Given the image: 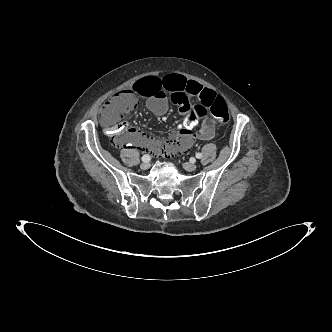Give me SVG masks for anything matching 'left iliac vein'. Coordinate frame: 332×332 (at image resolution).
I'll use <instances>...</instances> for the list:
<instances>
[{
  "label": "left iliac vein",
  "instance_id": "left-iliac-vein-1",
  "mask_svg": "<svg viewBox=\"0 0 332 332\" xmlns=\"http://www.w3.org/2000/svg\"><path fill=\"white\" fill-rule=\"evenodd\" d=\"M183 168L186 171L192 172V171H195L197 169V165H195L194 163L185 162V163H183Z\"/></svg>",
  "mask_w": 332,
  "mask_h": 332
}]
</instances>
